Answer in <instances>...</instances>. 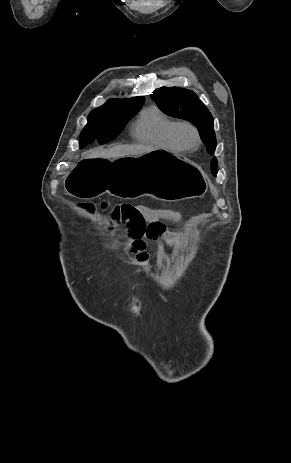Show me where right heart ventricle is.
Listing matches in <instances>:
<instances>
[{"label":"right heart ventricle","mask_w":291,"mask_h":463,"mask_svg":"<svg viewBox=\"0 0 291 463\" xmlns=\"http://www.w3.org/2000/svg\"><path fill=\"white\" fill-rule=\"evenodd\" d=\"M174 123L173 119L152 106L144 110L135 122L133 136L143 144L179 151L180 149L171 137Z\"/></svg>","instance_id":"1"}]
</instances>
